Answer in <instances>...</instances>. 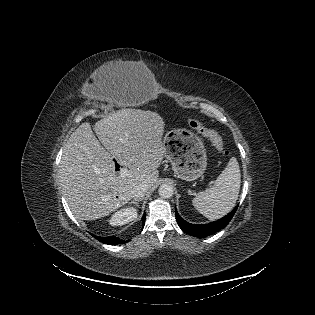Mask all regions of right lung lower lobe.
Masks as SVG:
<instances>
[{
  "mask_svg": "<svg viewBox=\"0 0 315 315\" xmlns=\"http://www.w3.org/2000/svg\"><path fill=\"white\" fill-rule=\"evenodd\" d=\"M145 217H146V214H144L143 217H142L143 226L145 224ZM93 236L97 240H99L100 242L105 243V244H109V245L125 243V241H122V240H120L119 238H117L115 236H109V237H100V236H95V235H93Z\"/></svg>",
  "mask_w": 315,
  "mask_h": 315,
  "instance_id": "obj_1",
  "label": "right lung lower lobe"
}]
</instances>
